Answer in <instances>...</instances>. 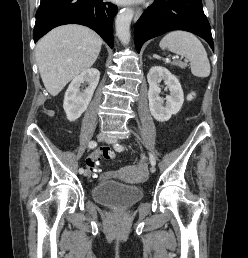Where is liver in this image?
<instances>
[{
	"label": "liver",
	"instance_id": "obj_1",
	"mask_svg": "<svg viewBox=\"0 0 248 258\" xmlns=\"http://www.w3.org/2000/svg\"><path fill=\"white\" fill-rule=\"evenodd\" d=\"M102 43L96 32L81 25L60 26L42 37L35 57L46 90L56 96L72 79L89 69Z\"/></svg>",
	"mask_w": 248,
	"mask_h": 258
}]
</instances>
